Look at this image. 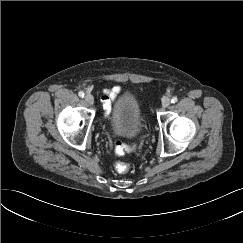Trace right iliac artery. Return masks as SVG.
<instances>
[{"label":"right iliac artery","mask_w":243,"mask_h":243,"mask_svg":"<svg viewBox=\"0 0 243 243\" xmlns=\"http://www.w3.org/2000/svg\"><path fill=\"white\" fill-rule=\"evenodd\" d=\"M78 95H79V97H84V92L83 91H80L79 93H78Z\"/></svg>","instance_id":"obj_1"}]
</instances>
